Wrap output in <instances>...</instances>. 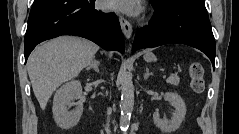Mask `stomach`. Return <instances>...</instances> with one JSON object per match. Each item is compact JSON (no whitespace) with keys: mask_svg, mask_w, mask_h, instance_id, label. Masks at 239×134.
<instances>
[{"mask_svg":"<svg viewBox=\"0 0 239 134\" xmlns=\"http://www.w3.org/2000/svg\"><path fill=\"white\" fill-rule=\"evenodd\" d=\"M147 62L156 61V57L152 53H147L144 56Z\"/></svg>","mask_w":239,"mask_h":134,"instance_id":"stomach-1","label":"stomach"}]
</instances>
